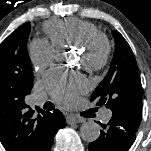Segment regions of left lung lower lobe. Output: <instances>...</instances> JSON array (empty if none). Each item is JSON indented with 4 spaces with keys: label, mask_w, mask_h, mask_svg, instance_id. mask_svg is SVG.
Segmentation results:
<instances>
[{
    "label": "left lung lower lobe",
    "mask_w": 151,
    "mask_h": 151,
    "mask_svg": "<svg viewBox=\"0 0 151 151\" xmlns=\"http://www.w3.org/2000/svg\"><path fill=\"white\" fill-rule=\"evenodd\" d=\"M102 127L100 137L89 144L90 151H127L138 130L135 125L114 117Z\"/></svg>",
    "instance_id": "left-lung-lower-lobe-1"
}]
</instances>
